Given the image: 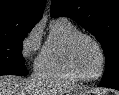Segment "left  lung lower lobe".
Instances as JSON below:
<instances>
[{
  "label": "left lung lower lobe",
  "mask_w": 119,
  "mask_h": 95,
  "mask_svg": "<svg viewBox=\"0 0 119 95\" xmlns=\"http://www.w3.org/2000/svg\"><path fill=\"white\" fill-rule=\"evenodd\" d=\"M110 88H112V87H110ZM113 88L119 90V86H114Z\"/></svg>",
  "instance_id": "0a47b994"
}]
</instances>
